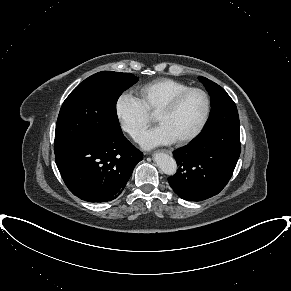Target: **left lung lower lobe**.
I'll return each mask as SVG.
<instances>
[{
  "mask_svg": "<svg viewBox=\"0 0 291 291\" xmlns=\"http://www.w3.org/2000/svg\"><path fill=\"white\" fill-rule=\"evenodd\" d=\"M240 129L225 127L174 151L178 170L168 182L179 197L201 201L217 195L230 180L240 156Z\"/></svg>",
  "mask_w": 291,
  "mask_h": 291,
  "instance_id": "left-lung-lower-lobe-1",
  "label": "left lung lower lobe"
}]
</instances>
